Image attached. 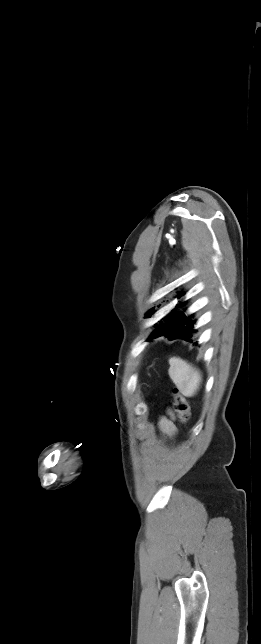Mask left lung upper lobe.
<instances>
[{
  "instance_id": "1",
  "label": "left lung upper lobe",
  "mask_w": 261,
  "mask_h": 644,
  "mask_svg": "<svg viewBox=\"0 0 261 644\" xmlns=\"http://www.w3.org/2000/svg\"><path fill=\"white\" fill-rule=\"evenodd\" d=\"M182 295H184V293H180L178 298H180V296H182ZM184 305H185V303L183 302V303H180L177 307L184 306ZM175 309L176 308H174L171 311L170 316L167 317V319H164V322L160 321V326L158 328H156V330L151 334L150 339H153V338H156V337H159V336H162V335L167 336L172 331H175L178 328H181V327L185 326L186 324H188L191 321V319H190L191 316L186 317V316L183 315V312L176 311ZM153 313L154 312L152 310H150L146 314V316L150 317ZM155 325L158 326L157 324H155Z\"/></svg>"
}]
</instances>
